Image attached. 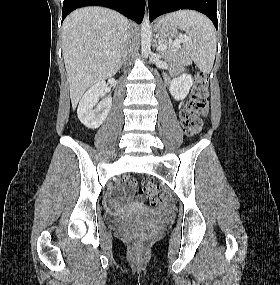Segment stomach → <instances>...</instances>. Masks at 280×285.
<instances>
[{"label":"stomach","mask_w":280,"mask_h":285,"mask_svg":"<svg viewBox=\"0 0 280 285\" xmlns=\"http://www.w3.org/2000/svg\"><path fill=\"white\" fill-rule=\"evenodd\" d=\"M154 28L162 39H172L180 36L179 27L176 24L166 20V18L159 19L155 23Z\"/></svg>","instance_id":"stomach-1"}]
</instances>
